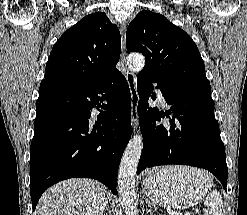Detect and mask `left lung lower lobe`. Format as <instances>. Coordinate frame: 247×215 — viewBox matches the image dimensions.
<instances>
[{
  "label": "left lung lower lobe",
  "mask_w": 247,
  "mask_h": 215,
  "mask_svg": "<svg viewBox=\"0 0 247 215\" xmlns=\"http://www.w3.org/2000/svg\"><path fill=\"white\" fill-rule=\"evenodd\" d=\"M153 83L171 106L166 114L149 107V97L155 100ZM137 90L144 142L137 174L158 165H190L210 171L227 191L226 155L211 96L173 86L143 71L138 74ZM169 114L174 116L168 124L159 123Z\"/></svg>",
  "instance_id": "1"
}]
</instances>
